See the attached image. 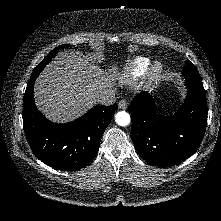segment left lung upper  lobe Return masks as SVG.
I'll list each match as a JSON object with an SVG mask.
<instances>
[{"mask_svg":"<svg viewBox=\"0 0 221 221\" xmlns=\"http://www.w3.org/2000/svg\"><path fill=\"white\" fill-rule=\"evenodd\" d=\"M184 77L186 85H192L195 87L203 88L200 75L196 67L189 60H187L185 64Z\"/></svg>","mask_w":221,"mask_h":221,"instance_id":"left-lung-upper-lobe-1","label":"left lung upper lobe"}]
</instances>
